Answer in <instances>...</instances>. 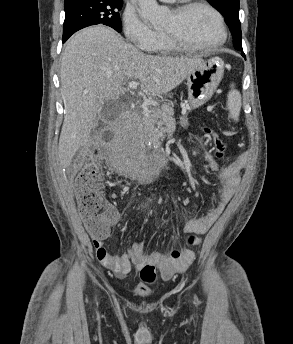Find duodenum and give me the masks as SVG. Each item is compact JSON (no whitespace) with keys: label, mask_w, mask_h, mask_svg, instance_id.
I'll return each instance as SVG.
<instances>
[{"label":"duodenum","mask_w":293,"mask_h":344,"mask_svg":"<svg viewBox=\"0 0 293 344\" xmlns=\"http://www.w3.org/2000/svg\"><path fill=\"white\" fill-rule=\"evenodd\" d=\"M131 120L130 116L129 115H125L119 123H122V122H129ZM161 157V160H166L168 157L171 158V156H168V155H162L160 156Z\"/></svg>","instance_id":"duodenum-1"}]
</instances>
